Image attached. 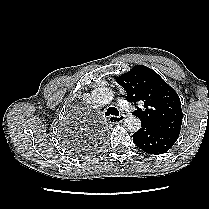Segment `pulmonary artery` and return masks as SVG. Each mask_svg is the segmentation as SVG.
<instances>
[{"label": "pulmonary artery", "mask_w": 209, "mask_h": 209, "mask_svg": "<svg viewBox=\"0 0 209 209\" xmlns=\"http://www.w3.org/2000/svg\"><path fill=\"white\" fill-rule=\"evenodd\" d=\"M119 104H120V106H121L122 109H124V110H128L129 109V105L127 104V102L120 101Z\"/></svg>", "instance_id": "1"}]
</instances>
